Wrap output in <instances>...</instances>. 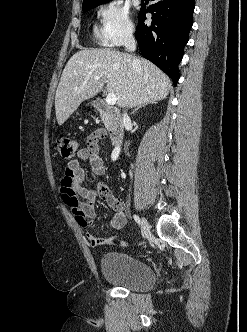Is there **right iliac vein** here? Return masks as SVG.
Wrapping results in <instances>:
<instances>
[{"label": "right iliac vein", "instance_id": "1", "mask_svg": "<svg viewBox=\"0 0 247 332\" xmlns=\"http://www.w3.org/2000/svg\"><path fill=\"white\" fill-rule=\"evenodd\" d=\"M141 232L143 237H147L150 234V226L148 221L143 217L141 222Z\"/></svg>", "mask_w": 247, "mask_h": 332}]
</instances>
